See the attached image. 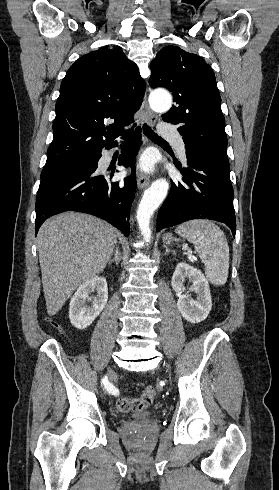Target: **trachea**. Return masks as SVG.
Returning <instances> with one entry per match:
<instances>
[{
  "label": "trachea",
  "mask_w": 279,
  "mask_h": 490,
  "mask_svg": "<svg viewBox=\"0 0 279 490\" xmlns=\"http://www.w3.org/2000/svg\"><path fill=\"white\" fill-rule=\"evenodd\" d=\"M143 133L148 137L150 138V140L156 142V143H166V140H164L163 138L159 137V135H157V133L153 132V130L148 127L147 124H144L143 125Z\"/></svg>",
  "instance_id": "obj_1"
}]
</instances>
